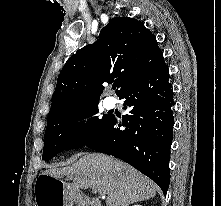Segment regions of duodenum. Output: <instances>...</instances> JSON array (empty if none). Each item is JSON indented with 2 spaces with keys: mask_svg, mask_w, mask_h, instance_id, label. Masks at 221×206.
<instances>
[{
  "mask_svg": "<svg viewBox=\"0 0 221 206\" xmlns=\"http://www.w3.org/2000/svg\"><path fill=\"white\" fill-rule=\"evenodd\" d=\"M88 206H100L99 202L94 197H87Z\"/></svg>",
  "mask_w": 221,
  "mask_h": 206,
  "instance_id": "obj_1",
  "label": "duodenum"
}]
</instances>
